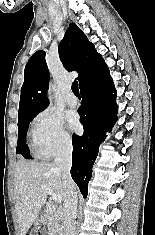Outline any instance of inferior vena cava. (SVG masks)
I'll list each match as a JSON object with an SVG mask.
<instances>
[{
	"instance_id": "602c4592",
	"label": "inferior vena cava",
	"mask_w": 155,
	"mask_h": 235,
	"mask_svg": "<svg viewBox=\"0 0 155 235\" xmlns=\"http://www.w3.org/2000/svg\"><path fill=\"white\" fill-rule=\"evenodd\" d=\"M54 163L61 171L62 183L65 189L64 197V230L65 235H76L75 218L77 213V188L71 178L72 142L64 140L57 152Z\"/></svg>"
}]
</instances>
